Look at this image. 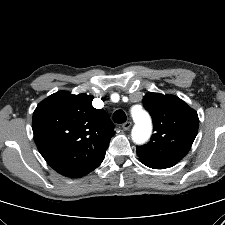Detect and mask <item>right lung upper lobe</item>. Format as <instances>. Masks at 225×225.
<instances>
[{
  "mask_svg": "<svg viewBox=\"0 0 225 225\" xmlns=\"http://www.w3.org/2000/svg\"><path fill=\"white\" fill-rule=\"evenodd\" d=\"M93 97L58 91L38 104L32 129L37 148L58 173L80 178L105 157L114 125L108 114L92 106Z\"/></svg>",
  "mask_w": 225,
  "mask_h": 225,
  "instance_id": "1",
  "label": "right lung upper lobe"
}]
</instances>
